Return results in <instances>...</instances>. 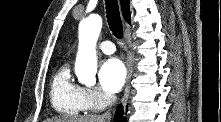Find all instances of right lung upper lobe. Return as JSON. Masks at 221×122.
Listing matches in <instances>:
<instances>
[{"mask_svg":"<svg viewBox=\"0 0 221 122\" xmlns=\"http://www.w3.org/2000/svg\"><path fill=\"white\" fill-rule=\"evenodd\" d=\"M121 8L124 19L130 23L129 0H121Z\"/></svg>","mask_w":221,"mask_h":122,"instance_id":"obj_1","label":"right lung upper lobe"}]
</instances>
